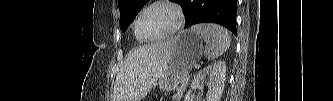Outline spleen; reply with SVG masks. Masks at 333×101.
<instances>
[{
    "instance_id": "1",
    "label": "spleen",
    "mask_w": 333,
    "mask_h": 101,
    "mask_svg": "<svg viewBox=\"0 0 333 101\" xmlns=\"http://www.w3.org/2000/svg\"><path fill=\"white\" fill-rule=\"evenodd\" d=\"M191 30L199 33L206 42L204 55L207 59H216L230 47L231 37L228 31L219 25L198 24L192 26Z\"/></svg>"
}]
</instances>
